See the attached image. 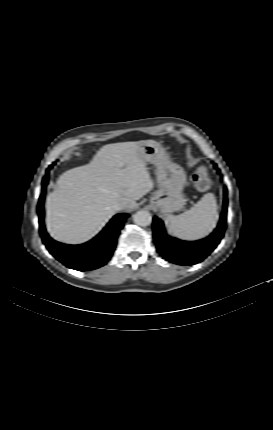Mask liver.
Wrapping results in <instances>:
<instances>
[{
  "label": "liver",
  "mask_w": 273,
  "mask_h": 430,
  "mask_svg": "<svg viewBox=\"0 0 273 430\" xmlns=\"http://www.w3.org/2000/svg\"><path fill=\"white\" fill-rule=\"evenodd\" d=\"M142 141L103 146L89 164L64 172L46 201V225L55 240L79 244L94 237L114 216L113 205L125 210L153 189L145 163L138 155Z\"/></svg>",
  "instance_id": "6515ba94"
}]
</instances>
